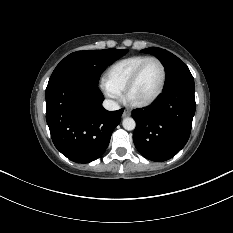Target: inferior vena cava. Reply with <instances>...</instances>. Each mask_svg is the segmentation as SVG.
Returning a JSON list of instances; mask_svg holds the SVG:
<instances>
[{
  "label": "inferior vena cava",
  "mask_w": 233,
  "mask_h": 233,
  "mask_svg": "<svg viewBox=\"0 0 233 233\" xmlns=\"http://www.w3.org/2000/svg\"><path fill=\"white\" fill-rule=\"evenodd\" d=\"M103 107L106 110H109V111H115V110H119L120 109V106L118 105V103H116L113 100H104L103 101Z\"/></svg>",
  "instance_id": "602c4592"
}]
</instances>
